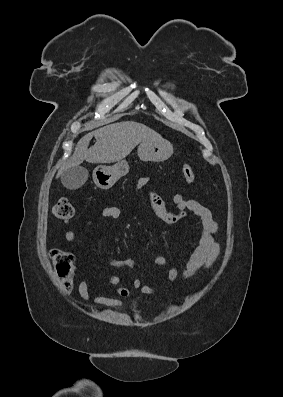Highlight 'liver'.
<instances>
[{
  "instance_id": "1",
  "label": "liver",
  "mask_w": 283,
  "mask_h": 397,
  "mask_svg": "<svg viewBox=\"0 0 283 397\" xmlns=\"http://www.w3.org/2000/svg\"><path fill=\"white\" fill-rule=\"evenodd\" d=\"M96 143L88 149L92 137ZM160 134L144 124L124 121L117 122L82 137L73 155L67 160L60 174L71 167L80 165L84 160L89 163H111L124 159L140 143L147 140H160ZM59 174V175H60Z\"/></svg>"
}]
</instances>
